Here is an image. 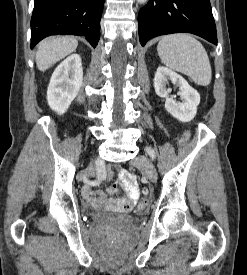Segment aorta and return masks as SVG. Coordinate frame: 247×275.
Here are the masks:
<instances>
[{
	"mask_svg": "<svg viewBox=\"0 0 247 275\" xmlns=\"http://www.w3.org/2000/svg\"><path fill=\"white\" fill-rule=\"evenodd\" d=\"M148 0H137V2L138 3H140V4H144V3H146Z\"/></svg>",
	"mask_w": 247,
	"mask_h": 275,
	"instance_id": "aorta-1",
	"label": "aorta"
}]
</instances>
